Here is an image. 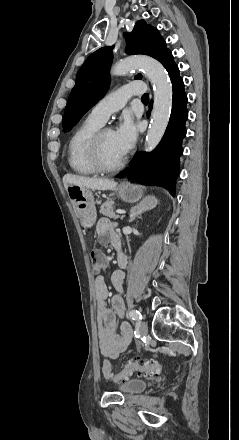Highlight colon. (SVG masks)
<instances>
[{
  "mask_svg": "<svg viewBox=\"0 0 239 440\" xmlns=\"http://www.w3.org/2000/svg\"><path fill=\"white\" fill-rule=\"evenodd\" d=\"M91 263L95 272H100L103 269V257L100 251L94 250L91 252ZM159 370V364L155 360L147 361H129L126 363L123 371L116 377L117 380H125L133 373L142 375L156 373ZM103 374L107 378H112L111 364L105 360L102 368Z\"/></svg>",
  "mask_w": 239,
  "mask_h": 440,
  "instance_id": "1",
  "label": "colon"
}]
</instances>
